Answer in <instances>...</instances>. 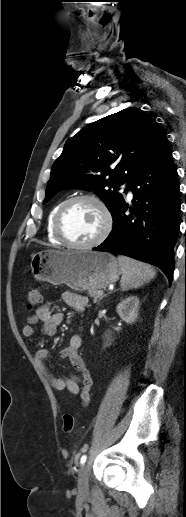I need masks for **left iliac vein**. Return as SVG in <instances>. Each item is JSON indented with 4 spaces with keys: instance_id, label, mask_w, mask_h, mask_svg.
Wrapping results in <instances>:
<instances>
[{
    "instance_id": "obj_1",
    "label": "left iliac vein",
    "mask_w": 186,
    "mask_h": 517,
    "mask_svg": "<svg viewBox=\"0 0 186 517\" xmlns=\"http://www.w3.org/2000/svg\"><path fill=\"white\" fill-rule=\"evenodd\" d=\"M88 489V464H84L78 474V492L80 495H85Z\"/></svg>"
}]
</instances>
